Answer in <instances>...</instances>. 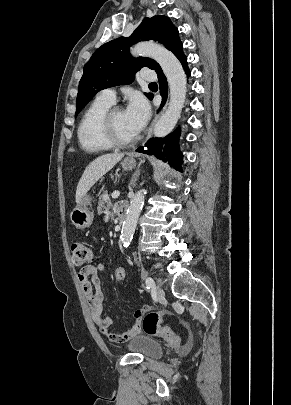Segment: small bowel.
<instances>
[{
	"mask_svg": "<svg viewBox=\"0 0 291 405\" xmlns=\"http://www.w3.org/2000/svg\"><path fill=\"white\" fill-rule=\"evenodd\" d=\"M103 271L102 264H90L80 270L78 279L88 302L92 319L100 332L112 343L127 342L141 331L142 318L150 311V307L145 305L135 311L134 324L127 331L123 333L111 332L109 328L112 324V318L102 315L104 294L101 290L100 275Z\"/></svg>",
	"mask_w": 291,
	"mask_h": 405,
	"instance_id": "obj_1",
	"label": "small bowel"
}]
</instances>
